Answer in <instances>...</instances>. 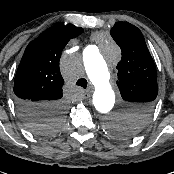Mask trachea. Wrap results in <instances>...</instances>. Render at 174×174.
Returning <instances> with one entry per match:
<instances>
[{"instance_id":"1","label":"trachea","mask_w":174,"mask_h":174,"mask_svg":"<svg viewBox=\"0 0 174 174\" xmlns=\"http://www.w3.org/2000/svg\"><path fill=\"white\" fill-rule=\"evenodd\" d=\"M76 85L81 86L85 89L87 87V80L85 78H81L76 82Z\"/></svg>"}]
</instances>
